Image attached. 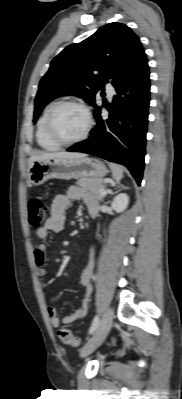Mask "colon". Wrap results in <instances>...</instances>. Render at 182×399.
<instances>
[{
  "instance_id": "1",
  "label": "colon",
  "mask_w": 182,
  "mask_h": 399,
  "mask_svg": "<svg viewBox=\"0 0 182 399\" xmlns=\"http://www.w3.org/2000/svg\"><path fill=\"white\" fill-rule=\"evenodd\" d=\"M48 206L40 197H33L28 202L29 223L33 228H40L47 220ZM58 336L60 340L69 346L77 347L80 341L74 334L67 328H59Z\"/></svg>"
}]
</instances>
